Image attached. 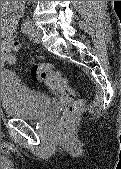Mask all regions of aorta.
<instances>
[{
    "label": "aorta",
    "instance_id": "aorta-1",
    "mask_svg": "<svg viewBox=\"0 0 121 169\" xmlns=\"http://www.w3.org/2000/svg\"><path fill=\"white\" fill-rule=\"evenodd\" d=\"M24 1H1V9L8 12L21 11Z\"/></svg>",
    "mask_w": 121,
    "mask_h": 169
}]
</instances>
